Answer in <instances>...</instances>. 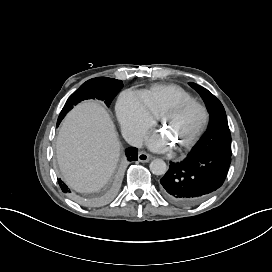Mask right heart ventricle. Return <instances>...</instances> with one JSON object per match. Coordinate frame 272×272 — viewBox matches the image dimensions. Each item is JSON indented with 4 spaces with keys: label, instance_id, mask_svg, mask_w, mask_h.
<instances>
[{
    "label": "right heart ventricle",
    "instance_id": "obj_1",
    "mask_svg": "<svg viewBox=\"0 0 272 272\" xmlns=\"http://www.w3.org/2000/svg\"><path fill=\"white\" fill-rule=\"evenodd\" d=\"M151 111L160 116L162 111L174 100H193L191 95L177 85H156L142 92Z\"/></svg>",
    "mask_w": 272,
    "mask_h": 272
}]
</instances>
